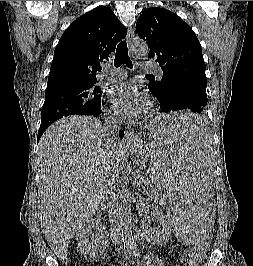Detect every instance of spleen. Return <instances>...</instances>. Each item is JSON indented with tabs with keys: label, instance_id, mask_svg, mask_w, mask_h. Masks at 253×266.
Instances as JSON below:
<instances>
[{
	"label": "spleen",
	"instance_id": "3e777b00",
	"mask_svg": "<svg viewBox=\"0 0 253 266\" xmlns=\"http://www.w3.org/2000/svg\"><path fill=\"white\" fill-rule=\"evenodd\" d=\"M196 111H168L153 117L157 145L144 166L151 198L168 210L180 248H207L217 233L209 190L214 179L211 137Z\"/></svg>",
	"mask_w": 253,
	"mask_h": 266
}]
</instances>
